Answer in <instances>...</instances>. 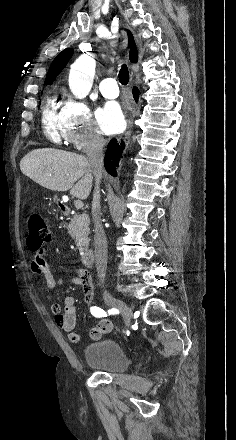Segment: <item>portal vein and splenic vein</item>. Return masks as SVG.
Segmentation results:
<instances>
[{"instance_id": "18ae733b", "label": "portal vein and splenic vein", "mask_w": 236, "mask_h": 440, "mask_svg": "<svg viewBox=\"0 0 236 440\" xmlns=\"http://www.w3.org/2000/svg\"><path fill=\"white\" fill-rule=\"evenodd\" d=\"M74 205L77 209H81L83 207V202L80 199L74 201Z\"/></svg>"}]
</instances>
